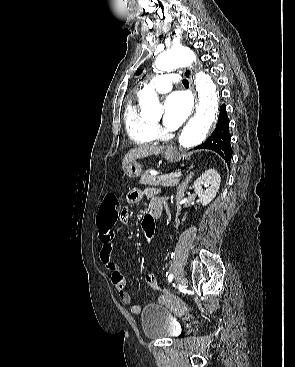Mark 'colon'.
<instances>
[{"instance_id": "1", "label": "colon", "mask_w": 295, "mask_h": 367, "mask_svg": "<svg viewBox=\"0 0 295 367\" xmlns=\"http://www.w3.org/2000/svg\"><path fill=\"white\" fill-rule=\"evenodd\" d=\"M121 209L122 207L120 206L118 198L114 194H107L101 203L97 222L102 225L114 224L119 220L120 216H122ZM140 228L144 230L145 238L148 239L146 244L151 246L153 244L151 239L154 238L157 232L153 220L143 219Z\"/></svg>"}]
</instances>
